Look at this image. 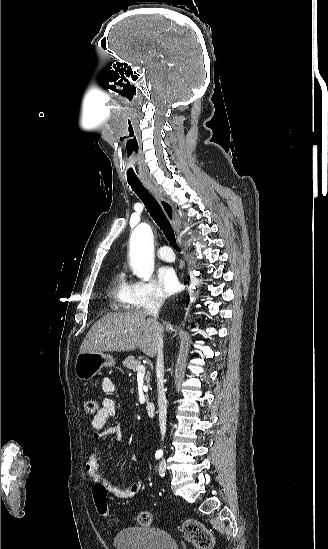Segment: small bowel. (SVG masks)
<instances>
[{
  "instance_id": "c3829d8e",
  "label": "small bowel",
  "mask_w": 328,
  "mask_h": 549,
  "mask_svg": "<svg viewBox=\"0 0 328 549\" xmlns=\"http://www.w3.org/2000/svg\"><path fill=\"white\" fill-rule=\"evenodd\" d=\"M102 390L107 394L115 392V384L112 379L105 377L101 383ZM116 415V403L112 398H104L101 408L95 414L91 421V426L94 430V437L101 438L104 436L112 437L115 441H120L122 430L120 425L111 424L107 426V422ZM132 462L137 460L136 456L130 458ZM86 472L93 482H103L100 474L99 451L97 447H93L86 460ZM142 487L141 481H135L125 488H118L112 485H107L108 490L115 496L121 499H130L138 494Z\"/></svg>"
}]
</instances>
